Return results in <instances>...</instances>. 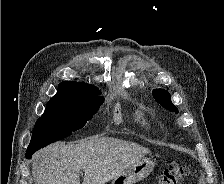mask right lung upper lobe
<instances>
[{
  "label": "right lung upper lobe",
  "instance_id": "obj_1",
  "mask_svg": "<svg viewBox=\"0 0 224 184\" xmlns=\"http://www.w3.org/2000/svg\"><path fill=\"white\" fill-rule=\"evenodd\" d=\"M97 93L100 92L93 85L73 81H63L58 86L57 94L51 99L76 100L90 97Z\"/></svg>",
  "mask_w": 224,
  "mask_h": 184
}]
</instances>
